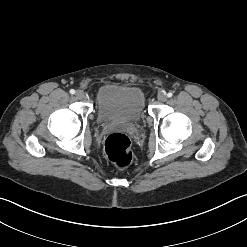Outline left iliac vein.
<instances>
[{
  "instance_id": "left-iliac-vein-1",
  "label": "left iliac vein",
  "mask_w": 247,
  "mask_h": 247,
  "mask_svg": "<svg viewBox=\"0 0 247 247\" xmlns=\"http://www.w3.org/2000/svg\"><path fill=\"white\" fill-rule=\"evenodd\" d=\"M158 100L161 102H165L167 100V95L166 94H160L158 96Z\"/></svg>"
}]
</instances>
